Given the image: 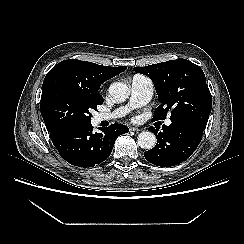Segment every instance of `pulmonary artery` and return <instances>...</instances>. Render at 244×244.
Returning <instances> with one entry per match:
<instances>
[{
  "label": "pulmonary artery",
  "mask_w": 244,
  "mask_h": 244,
  "mask_svg": "<svg viewBox=\"0 0 244 244\" xmlns=\"http://www.w3.org/2000/svg\"><path fill=\"white\" fill-rule=\"evenodd\" d=\"M131 96L128 105L115 109L111 113L99 114L97 121L110 120L125 115L131 108L139 107L146 104L153 94V83L145 76L135 75L130 84ZM165 124L169 126L171 120L167 119Z\"/></svg>",
  "instance_id": "e3ab8cb5"
}]
</instances>
